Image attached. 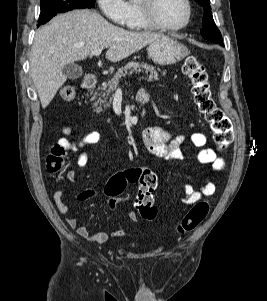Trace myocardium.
Segmentation results:
<instances>
[{
	"mask_svg": "<svg viewBox=\"0 0 267 301\" xmlns=\"http://www.w3.org/2000/svg\"><path fill=\"white\" fill-rule=\"evenodd\" d=\"M187 14L185 20L179 25H166L162 23L155 13V8L158 0H137V8L139 10L142 20L151 28L161 31H179L185 28L191 21L192 18V6L190 0H183Z\"/></svg>",
	"mask_w": 267,
	"mask_h": 301,
	"instance_id": "f54148a6",
	"label": "myocardium"
}]
</instances>
